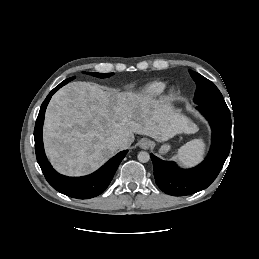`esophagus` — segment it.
Instances as JSON below:
<instances>
[{
  "label": "esophagus",
  "mask_w": 259,
  "mask_h": 259,
  "mask_svg": "<svg viewBox=\"0 0 259 259\" xmlns=\"http://www.w3.org/2000/svg\"><path fill=\"white\" fill-rule=\"evenodd\" d=\"M151 141L148 139H141L139 142V146L140 148L144 149V150H148L151 147Z\"/></svg>",
  "instance_id": "1"
}]
</instances>
